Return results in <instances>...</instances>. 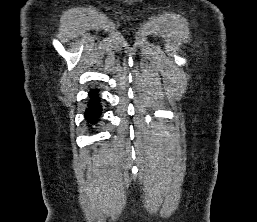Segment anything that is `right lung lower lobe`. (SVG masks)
Returning <instances> with one entry per match:
<instances>
[{
  "mask_svg": "<svg viewBox=\"0 0 257 222\" xmlns=\"http://www.w3.org/2000/svg\"><path fill=\"white\" fill-rule=\"evenodd\" d=\"M89 107L85 112V118L90 123H95L99 120V117L101 116V105L99 104V97H98V91L96 89H93L89 92Z\"/></svg>",
  "mask_w": 257,
  "mask_h": 222,
  "instance_id": "obj_1",
  "label": "right lung lower lobe"
}]
</instances>
